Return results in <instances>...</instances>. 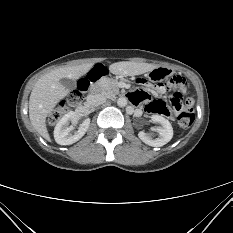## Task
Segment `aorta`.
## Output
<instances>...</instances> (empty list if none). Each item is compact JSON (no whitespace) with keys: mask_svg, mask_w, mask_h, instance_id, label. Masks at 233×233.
<instances>
[{"mask_svg":"<svg viewBox=\"0 0 233 233\" xmlns=\"http://www.w3.org/2000/svg\"><path fill=\"white\" fill-rule=\"evenodd\" d=\"M117 105L119 107H125L127 105V99L125 97H120L118 100H117Z\"/></svg>","mask_w":233,"mask_h":233,"instance_id":"obj_1","label":"aorta"}]
</instances>
